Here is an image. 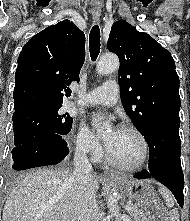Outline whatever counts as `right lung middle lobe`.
Listing matches in <instances>:
<instances>
[{
    "mask_svg": "<svg viewBox=\"0 0 190 221\" xmlns=\"http://www.w3.org/2000/svg\"><path fill=\"white\" fill-rule=\"evenodd\" d=\"M61 106L62 104L36 105L14 113L15 146L44 133H69L73 119L68 113H61Z\"/></svg>",
    "mask_w": 190,
    "mask_h": 221,
    "instance_id": "1",
    "label": "right lung middle lobe"
}]
</instances>
